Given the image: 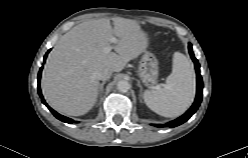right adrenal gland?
<instances>
[{"mask_svg": "<svg viewBox=\"0 0 248 158\" xmlns=\"http://www.w3.org/2000/svg\"><path fill=\"white\" fill-rule=\"evenodd\" d=\"M105 81H103L101 84H99L98 94L101 96L103 92V87L105 85Z\"/></svg>", "mask_w": 248, "mask_h": 158, "instance_id": "2a0ac1e0", "label": "right adrenal gland"}]
</instances>
